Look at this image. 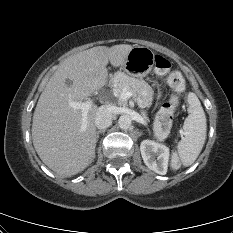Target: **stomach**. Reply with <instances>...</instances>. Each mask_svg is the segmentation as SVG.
Listing matches in <instances>:
<instances>
[{
    "instance_id": "stomach-1",
    "label": "stomach",
    "mask_w": 233,
    "mask_h": 233,
    "mask_svg": "<svg viewBox=\"0 0 233 233\" xmlns=\"http://www.w3.org/2000/svg\"><path fill=\"white\" fill-rule=\"evenodd\" d=\"M154 61L155 54L151 49L144 46H136L128 53L122 69L128 75L142 79L151 72Z\"/></svg>"
}]
</instances>
